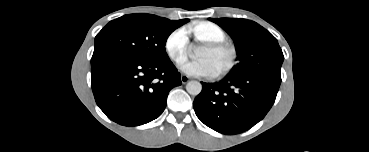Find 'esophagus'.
Instances as JSON below:
<instances>
[{"mask_svg": "<svg viewBox=\"0 0 369 152\" xmlns=\"http://www.w3.org/2000/svg\"><path fill=\"white\" fill-rule=\"evenodd\" d=\"M181 81L183 84H185L189 81V77L186 75H181Z\"/></svg>", "mask_w": 369, "mask_h": 152, "instance_id": "esophagus-1", "label": "esophagus"}]
</instances>
